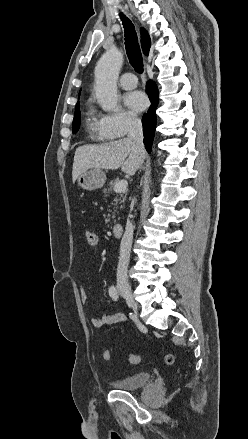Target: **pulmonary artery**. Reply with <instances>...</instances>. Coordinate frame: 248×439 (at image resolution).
Listing matches in <instances>:
<instances>
[{"label": "pulmonary artery", "mask_w": 248, "mask_h": 439, "mask_svg": "<svg viewBox=\"0 0 248 439\" xmlns=\"http://www.w3.org/2000/svg\"><path fill=\"white\" fill-rule=\"evenodd\" d=\"M138 81L136 76L133 73H124L121 77H120V81H119V85L123 88V89H133L137 86Z\"/></svg>", "instance_id": "e3ab8cb5"}]
</instances>
